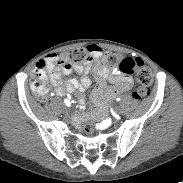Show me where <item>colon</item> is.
Segmentation results:
<instances>
[{"mask_svg": "<svg viewBox=\"0 0 183 183\" xmlns=\"http://www.w3.org/2000/svg\"><path fill=\"white\" fill-rule=\"evenodd\" d=\"M91 55L88 48H77L64 53L58 57V64L62 68H71L77 66H87ZM106 65L112 69H118L125 74L136 73L138 86L133 92V98L141 100L150 92V85L153 80L151 70L145 66L142 60L125 57L117 52H106L104 54ZM47 63L45 60L39 61L31 76V88L39 99H44L47 94L46 85ZM84 135L89 136L95 130V125L90 121H84L81 124Z\"/></svg>", "mask_w": 183, "mask_h": 183, "instance_id": "colon-1", "label": "colon"}]
</instances>
